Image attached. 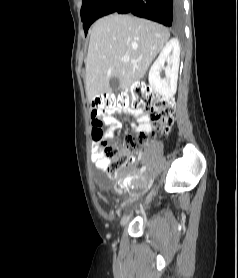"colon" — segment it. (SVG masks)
<instances>
[{
    "mask_svg": "<svg viewBox=\"0 0 238 278\" xmlns=\"http://www.w3.org/2000/svg\"><path fill=\"white\" fill-rule=\"evenodd\" d=\"M115 108L149 114L154 130L162 134H168L174 122L173 101L159 97L149 86L140 82L134 84L130 91L119 94L107 93L93 99L91 111L93 139L101 140L103 137L102 113ZM146 138V133L140 132L137 137L127 135L121 144L102 142L107 174L112 178L117 177L120 170L128 163L127 151L144 144Z\"/></svg>",
    "mask_w": 238,
    "mask_h": 278,
    "instance_id": "obj_1",
    "label": "colon"
}]
</instances>
